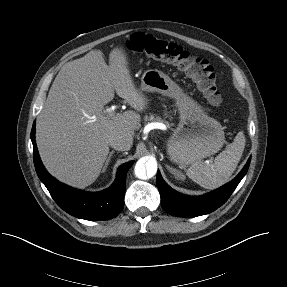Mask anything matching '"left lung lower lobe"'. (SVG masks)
<instances>
[{
    "instance_id": "0a47b994",
    "label": "left lung lower lobe",
    "mask_w": 287,
    "mask_h": 287,
    "mask_svg": "<svg viewBox=\"0 0 287 287\" xmlns=\"http://www.w3.org/2000/svg\"><path fill=\"white\" fill-rule=\"evenodd\" d=\"M251 158L242 171L231 182L202 196H186L172 189L157 173L156 184L161 195V205L165 212L178 217H196L213 212L223 205L245 176Z\"/></svg>"
}]
</instances>
